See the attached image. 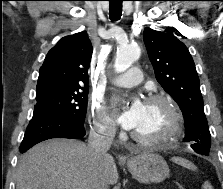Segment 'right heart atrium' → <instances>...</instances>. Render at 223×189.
I'll use <instances>...</instances> for the list:
<instances>
[{
	"instance_id": "1",
	"label": "right heart atrium",
	"mask_w": 223,
	"mask_h": 189,
	"mask_svg": "<svg viewBox=\"0 0 223 189\" xmlns=\"http://www.w3.org/2000/svg\"><path fill=\"white\" fill-rule=\"evenodd\" d=\"M92 129L100 136L111 137L115 132V123L99 102H92L90 109Z\"/></svg>"
}]
</instances>
